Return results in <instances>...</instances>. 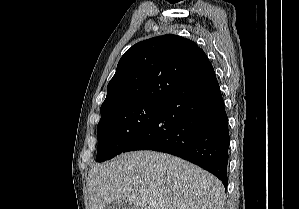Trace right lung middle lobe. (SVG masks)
Masks as SVG:
<instances>
[{
  "instance_id": "1",
  "label": "right lung middle lobe",
  "mask_w": 299,
  "mask_h": 209,
  "mask_svg": "<svg viewBox=\"0 0 299 209\" xmlns=\"http://www.w3.org/2000/svg\"><path fill=\"white\" fill-rule=\"evenodd\" d=\"M164 102H136L101 112L97 126L96 160L102 162L122 153L151 124Z\"/></svg>"
}]
</instances>
